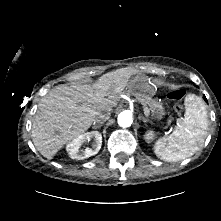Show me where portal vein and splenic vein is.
I'll use <instances>...</instances> for the list:
<instances>
[{"label": "portal vein and splenic vein", "instance_id": "18ae733b", "mask_svg": "<svg viewBox=\"0 0 221 221\" xmlns=\"http://www.w3.org/2000/svg\"><path fill=\"white\" fill-rule=\"evenodd\" d=\"M144 114L148 116L150 114V110L147 106L143 105Z\"/></svg>", "mask_w": 221, "mask_h": 221}]
</instances>
